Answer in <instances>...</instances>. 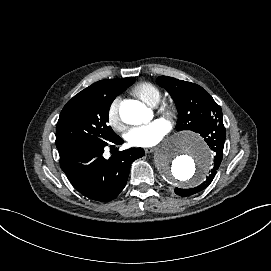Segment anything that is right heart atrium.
I'll return each instance as SVG.
<instances>
[{"instance_id":"right-heart-atrium-1","label":"right heart atrium","mask_w":271,"mask_h":271,"mask_svg":"<svg viewBox=\"0 0 271 271\" xmlns=\"http://www.w3.org/2000/svg\"><path fill=\"white\" fill-rule=\"evenodd\" d=\"M120 103V97L115 96L109 103L107 109V120L108 123L117 131L124 130L121 118L118 112V105Z\"/></svg>"}]
</instances>
